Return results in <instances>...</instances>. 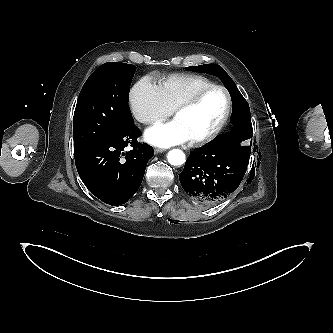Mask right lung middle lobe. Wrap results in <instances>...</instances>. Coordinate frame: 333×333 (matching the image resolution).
Here are the masks:
<instances>
[{"label": "right lung middle lobe", "mask_w": 333, "mask_h": 333, "mask_svg": "<svg viewBox=\"0 0 333 333\" xmlns=\"http://www.w3.org/2000/svg\"><path fill=\"white\" fill-rule=\"evenodd\" d=\"M135 69L131 64L108 62L89 76L74 112V155L120 134L134 123L128 95Z\"/></svg>", "instance_id": "right-lung-middle-lobe-1"}]
</instances>
